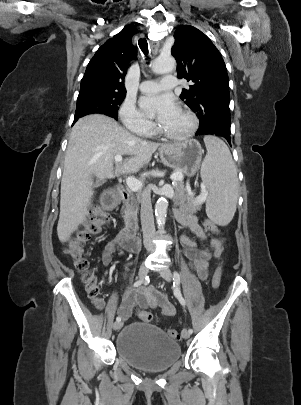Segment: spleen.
Wrapping results in <instances>:
<instances>
[{
    "label": "spleen",
    "instance_id": "1",
    "mask_svg": "<svg viewBox=\"0 0 301 405\" xmlns=\"http://www.w3.org/2000/svg\"><path fill=\"white\" fill-rule=\"evenodd\" d=\"M207 154L201 165V177L209 195L208 217L219 225L232 220L238 198L237 170L227 145L215 136H205Z\"/></svg>",
    "mask_w": 301,
    "mask_h": 405
}]
</instances>
